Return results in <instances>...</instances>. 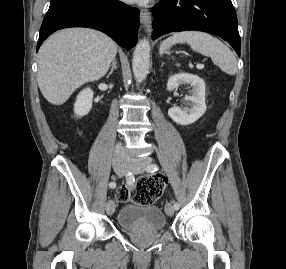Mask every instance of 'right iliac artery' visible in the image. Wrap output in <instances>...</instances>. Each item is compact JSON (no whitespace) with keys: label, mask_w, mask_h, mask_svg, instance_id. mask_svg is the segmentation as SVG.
<instances>
[{"label":"right iliac artery","mask_w":286,"mask_h":269,"mask_svg":"<svg viewBox=\"0 0 286 269\" xmlns=\"http://www.w3.org/2000/svg\"><path fill=\"white\" fill-rule=\"evenodd\" d=\"M134 175L132 174V172H128L126 174V182L128 185H132L134 182ZM110 188H115L116 187V183L115 182H110L109 184Z\"/></svg>","instance_id":"1"}]
</instances>
